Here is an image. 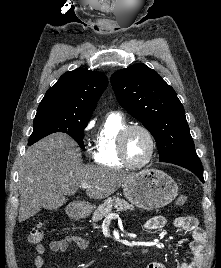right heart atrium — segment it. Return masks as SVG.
Masks as SVG:
<instances>
[{"mask_svg": "<svg viewBox=\"0 0 221 268\" xmlns=\"http://www.w3.org/2000/svg\"><path fill=\"white\" fill-rule=\"evenodd\" d=\"M93 125H94V122H93V121H90V122L87 124L85 130H86V131H89V130L93 127Z\"/></svg>", "mask_w": 221, "mask_h": 268, "instance_id": "d8ad5b80", "label": "right heart atrium"}]
</instances>
